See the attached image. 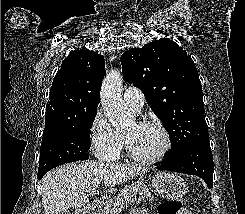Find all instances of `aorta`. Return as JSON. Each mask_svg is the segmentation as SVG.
Returning <instances> with one entry per match:
<instances>
[{
    "label": "aorta",
    "mask_w": 245,
    "mask_h": 214,
    "mask_svg": "<svg viewBox=\"0 0 245 214\" xmlns=\"http://www.w3.org/2000/svg\"><path fill=\"white\" fill-rule=\"evenodd\" d=\"M122 85L123 76L121 73L111 71L103 80L100 93L104 115L111 125L117 129L125 127L132 120L121 99Z\"/></svg>",
    "instance_id": "762f6f07"
}]
</instances>
